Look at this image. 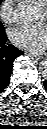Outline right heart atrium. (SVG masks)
Instances as JSON below:
<instances>
[{
	"instance_id": "d8ad5b80",
	"label": "right heart atrium",
	"mask_w": 47,
	"mask_h": 129,
	"mask_svg": "<svg viewBox=\"0 0 47 129\" xmlns=\"http://www.w3.org/2000/svg\"><path fill=\"white\" fill-rule=\"evenodd\" d=\"M15 0H2L0 4V17L4 22H12Z\"/></svg>"
}]
</instances>
